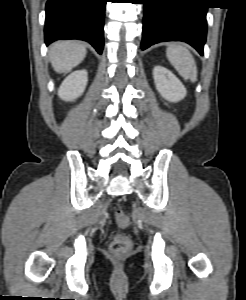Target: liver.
<instances>
[{"mask_svg":"<svg viewBox=\"0 0 246 300\" xmlns=\"http://www.w3.org/2000/svg\"><path fill=\"white\" fill-rule=\"evenodd\" d=\"M86 53V47L83 43L62 40L51 45L49 58L56 72L66 73L80 64L85 58Z\"/></svg>","mask_w":246,"mask_h":300,"instance_id":"1","label":"liver"}]
</instances>
